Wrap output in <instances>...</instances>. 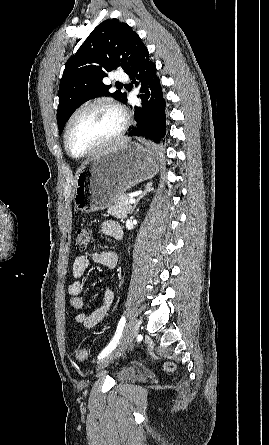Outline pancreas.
Listing matches in <instances>:
<instances>
[{
    "label": "pancreas",
    "mask_w": 269,
    "mask_h": 445,
    "mask_svg": "<svg viewBox=\"0 0 269 445\" xmlns=\"http://www.w3.org/2000/svg\"><path fill=\"white\" fill-rule=\"evenodd\" d=\"M132 206L128 201V196L123 194L114 200L108 209V213L116 218L125 219L131 213Z\"/></svg>",
    "instance_id": "cf45deb5"
}]
</instances>
